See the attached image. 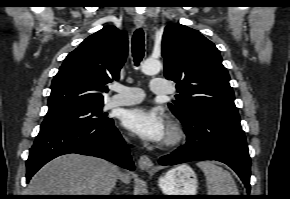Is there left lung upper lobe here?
I'll return each mask as SVG.
<instances>
[{
    "mask_svg": "<svg viewBox=\"0 0 290 199\" xmlns=\"http://www.w3.org/2000/svg\"><path fill=\"white\" fill-rule=\"evenodd\" d=\"M162 56L164 75L177 83L179 92L168 106L181 122L200 112L240 120L219 50L199 31L175 23L166 26Z\"/></svg>",
    "mask_w": 290,
    "mask_h": 199,
    "instance_id": "obj_1",
    "label": "left lung upper lobe"
}]
</instances>
